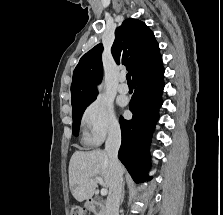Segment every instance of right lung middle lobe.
Wrapping results in <instances>:
<instances>
[{"label": "right lung middle lobe", "mask_w": 223, "mask_h": 215, "mask_svg": "<svg viewBox=\"0 0 223 215\" xmlns=\"http://www.w3.org/2000/svg\"><path fill=\"white\" fill-rule=\"evenodd\" d=\"M89 104L90 103H87V104L79 105V106L73 108L72 133H73L74 136H78V134H79V127H80L81 117H82V114H83L84 110L86 109V107Z\"/></svg>", "instance_id": "1"}]
</instances>
